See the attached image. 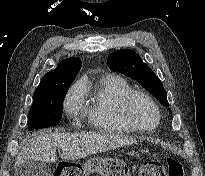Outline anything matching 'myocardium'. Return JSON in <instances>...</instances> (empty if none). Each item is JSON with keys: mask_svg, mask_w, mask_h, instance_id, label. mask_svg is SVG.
Masks as SVG:
<instances>
[{"mask_svg": "<svg viewBox=\"0 0 205 176\" xmlns=\"http://www.w3.org/2000/svg\"><path fill=\"white\" fill-rule=\"evenodd\" d=\"M136 98L145 99L153 107V109L155 110L156 116H157V121L154 125L141 126L133 120L132 115H131V106H132L133 101ZM122 114H123V117L126 120V122L134 130H137V131H149L153 127L158 126L160 124L161 118H162L160 108H159L158 104L156 103V101L154 100V98L151 95H149L148 93L141 91V90H133L124 97V99L122 101Z\"/></svg>", "mask_w": 205, "mask_h": 176, "instance_id": "myocardium-1", "label": "myocardium"}]
</instances>
